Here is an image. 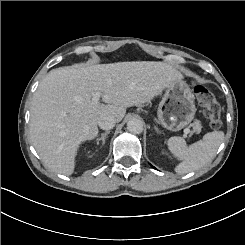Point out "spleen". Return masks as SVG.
<instances>
[{
    "mask_svg": "<svg viewBox=\"0 0 245 245\" xmlns=\"http://www.w3.org/2000/svg\"><path fill=\"white\" fill-rule=\"evenodd\" d=\"M224 139L222 131L205 134L203 139L189 147L183 137L169 138L167 144L171 153L182 162L175 168L178 174H186L205 166L215 155Z\"/></svg>",
    "mask_w": 245,
    "mask_h": 245,
    "instance_id": "1",
    "label": "spleen"
}]
</instances>
